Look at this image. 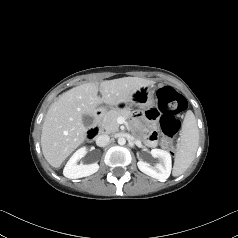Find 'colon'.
Instances as JSON below:
<instances>
[{
    "mask_svg": "<svg viewBox=\"0 0 238 238\" xmlns=\"http://www.w3.org/2000/svg\"><path fill=\"white\" fill-rule=\"evenodd\" d=\"M157 107L162 117L160 126L162 130L161 146L172 151V138L180 128V122L176 118L187 107L186 99L170 86H163L157 91Z\"/></svg>",
    "mask_w": 238,
    "mask_h": 238,
    "instance_id": "obj_1",
    "label": "colon"
}]
</instances>
